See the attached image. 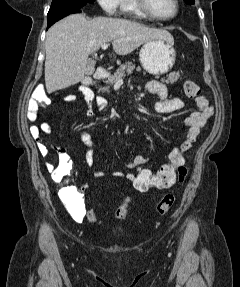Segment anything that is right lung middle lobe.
<instances>
[{
	"label": "right lung middle lobe",
	"mask_w": 240,
	"mask_h": 287,
	"mask_svg": "<svg viewBox=\"0 0 240 287\" xmlns=\"http://www.w3.org/2000/svg\"><path fill=\"white\" fill-rule=\"evenodd\" d=\"M93 2L94 0H52L47 19L60 13L81 9L87 3Z\"/></svg>",
	"instance_id": "right-lung-middle-lobe-1"
}]
</instances>
